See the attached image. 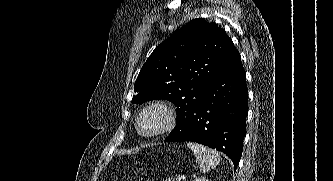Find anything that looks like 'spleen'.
<instances>
[{"mask_svg": "<svg viewBox=\"0 0 333 181\" xmlns=\"http://www.w3.org/2000/svg\"><path fill=\"white\" fill-rule=\"evenodd\" d=\"M187 146L193 151L201 172L205 173L215 168L221 160L220 155L215 150L206 146L192 142H188Z\"/></svg>", "mask_w": 333, "mask_h": 181, "instance_id": "3e777b00", "label": "spleen"}]
</instances>
